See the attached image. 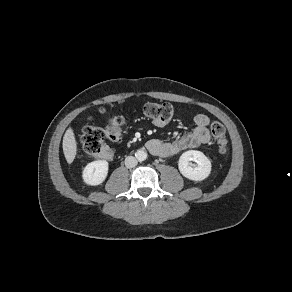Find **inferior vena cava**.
Returning a JSON list of instances; mask_svg holds the SVG:
<instances>
[{
  "label": "inferior vena cava",
  "mask_w": 292,
  "mask_h": 292,
  "mask_svg": "<svg viewBox=\"0 0 292 292\" xmlns=\"http://www.w3.org/2000/svg\"><path fill=\"white\" fill-rule=\"evenodd\" d=\"M137 163H138L137 159L133 156H128L125 159V166L127 168H133L137 165Z\"/></svg>",
  "instance_id": "inferior-vena-cava-1"
}]
</instances>
